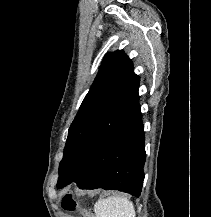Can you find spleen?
Masks as SVG:
<instances>
[{
    "label": "spleen",
    "mask_w": 211,
    "mask_h": 217,
    "mask_svg": "<svg viewBox=\"0 0 211 217\" xmlns=\"http://www.w3.org/2000/svg\"><path fill=\"white\" fill-rule=\"evenodd\" d=\"M97 217H135V208L131 201L121 196H111L98 200L94 206Z\"/></svg>",
    "instance_id": "1"
}]
</instances>
